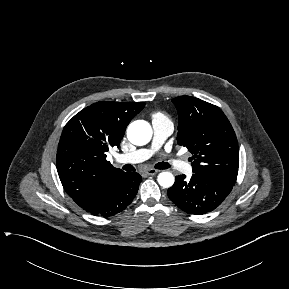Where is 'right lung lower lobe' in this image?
<instances>
[{
  "label": "right lung lower lobe",
  "mask_w": 289,
  "mask_h": 289,
  "mask_svg": "<svg viewBox=\"0 0 289 289\" xmlns=\"http://www.w3.org/2000/svg\"><path fill=\"white\" fill-rule=\"evenodd\" d=\"M142 181L136 172H126L104 195L82 208L92 215L111 216L124 210L134 199Z\"/></svg>",
  "instance_id": "1"
}]
</instances>
